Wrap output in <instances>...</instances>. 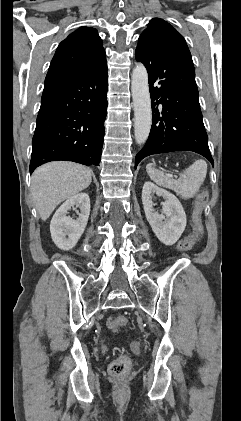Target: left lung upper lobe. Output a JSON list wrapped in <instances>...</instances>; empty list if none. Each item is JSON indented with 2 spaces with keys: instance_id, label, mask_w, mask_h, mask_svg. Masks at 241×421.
<instances>
[{
  "instance_id": "5c2ea615",
  "label": "left lung upper lobe",
  "mask_w": 241,
  "mask_h": 421,
  "mask_svg": "<svg viewBox=\"0 0 241 421\" xmlns=\"http://www.w3.org/2000/svg\"><path fill=\"white\" fill-rule=\"evenodd\" d=\"M141 36L149 37L161 42L181 45L188 49L183 36L177 32L169 23L160 18L152 19Z\"/></svg>"
}]
</instances>
